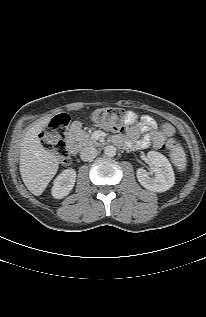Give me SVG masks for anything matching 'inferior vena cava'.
Segmentation results:
<instances>
[{"mask_svg": "<svg viewBox=\"0 0 206 317\" xmlns=\"http://www.w3.org/2000/svg\"><path fill=\"white\" fill-rule=\"evenodd\" d=\"M96 155H97V149L92 146L85 147L80 152V158L83 161H91L96 157Z\"/></svg>", "mask_w": 206, "mask_h": 317, "instance_id": "602c4592", "label": "inferior vena cava"}]
</instances>
